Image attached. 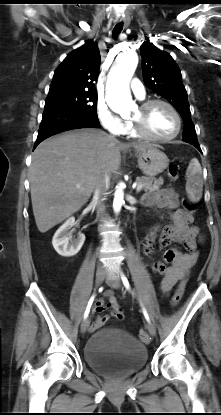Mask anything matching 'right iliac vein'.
<instances>
[{"mask_svg": "<svg viewBox=\"0 0 221 415\" xmlns=\"http://www.w3.org/2000/svg\"><path fill=\"white\" fill-rule=\"evenodd\" d=\"M107 277L106 273L103 270H99L96 273V287H99L104 279ZM90 326V319L86 318L81 324V332L85 333Z\"/></svg>", "mask_w": 221, "mask_h": 415, "instance_id": "63e3f726", "label": "right iliac vein"}]
</instances>
